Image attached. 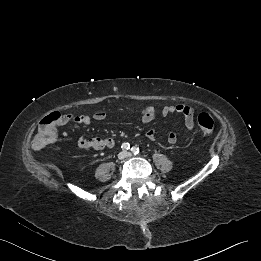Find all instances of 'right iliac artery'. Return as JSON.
Segmentation results:
<instances>
[{
  "instance_id": "right-iliac-artery-1",
  "label": "right iliac artery",
  "mask_w": 261,
  "mask_h": 261,
  "mask_svg": "<svg viewBox=\"0 0 261 261\" xmlns=\"http://www.w3.org/2000/svg\"><path fill=\"white\" fill-rule=\"evenodd\" d=\"M121 148H122L123 150H129V149H130V144H129V143H123L122 146H121Z\"/></svg>"
}]
</instances>
